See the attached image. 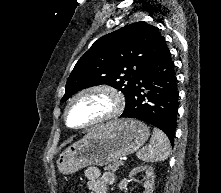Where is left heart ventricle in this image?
Returning a JSON list of instances; mask_svg holds the SVG:
<instances>
[{"instance_id":"left-heart-ventricle-1","label":"left heart ventricle","mask_w":221,"mask_h":193,"mask_svg":"<svg viewBox=\"0 0 221 193\" xmlns=\"http://www.w3.org/2000/svg\"><path fill=\"white\" fill-rule=\"evenodd\" d=\"M108 102L104 97L90 95L80 98L72 106L68 118L71 125H83L102 113Z\"/></svg>"}]
</instances>
